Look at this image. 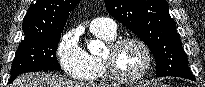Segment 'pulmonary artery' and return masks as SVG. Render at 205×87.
I'll use <instances>...</instances> for the list:
<instances>
[{
    "instance_id": "pulmonary-artery-1",
    "label": "pulmonary artery",
    "mask_w": 205,
    "mask_h": 87,
    "mask_svg": "<svg viewBox=\"0 0 205 87\" xmlns=\"http://www.w3.org/2000/svg\"><path fill=\"white\" fill-rule=\"evenodd\" d=\"M116 23L109 18H94L90 22V30L93 32L116 33Z\"/></svg>"
}]
</instances>
